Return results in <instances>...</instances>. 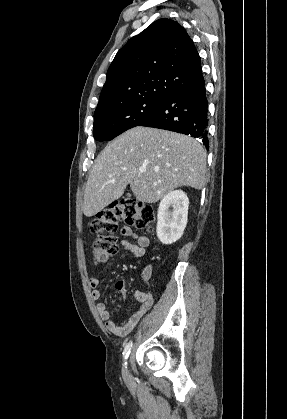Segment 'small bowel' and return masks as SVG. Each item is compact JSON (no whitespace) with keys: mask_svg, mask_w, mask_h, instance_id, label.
<instances>
[{"mask_svg":"<svg viewBox=\"0 0 287 419\" xmlns=\"http://www.w3.org/2000/svg\"><path fill=\"white\" fill-rule=\"evenodd\" d=\"M121 233L126 238H131L136 243H131L127 239H122L119 242L120 247L123 250L129 251L135 257L140 258L145 253V248L149 244V239L146 236L136 234L131 228L123 227ZM151 271L146 269L143 273V280L147 282L150 278ZM100 279L96 275H92L89 279L90 286L92 287L91 295L93 299L98 300L100 298V291L98 290ZM114 289L120 292L123 296H126V282L119 280L114 284ZM133 298L137 300L140 305L131 314V316L121 324H117L110 318V312L107 310L103 302L96 304V309L99 313L100 318L104 321L108 331L118 336H125L138 324L142 316L148 311L152 304V298L149 293L141 290H136L133 293Z\"/></svg>","mask_w":287,"mask_h":419,"instance_id":"small-bowel-1","label":"small bowel"}]
</instances>
